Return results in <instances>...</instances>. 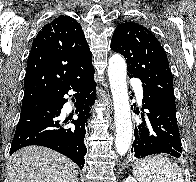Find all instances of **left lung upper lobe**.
Returning <instances> with one entry per match:
<instances>
[{
	"mask_svg": "<svg viewBox=\"0 0 196 182\" xmlns=\"http://www.w3.org/2000/svg\"><path fill=\"white\" fill-rule=\"evenodd\" d=\"M111 49L126 58L129 75L175 106L173 78L164 49L146 27L134 22L119 24L111 39Z\"/></svg>",
	"mask_w": 196,
	"mask_h": 182,
	"instance_id": "5c2ea615",
	"label": "left lung upper lobe"
}]
</instances>
